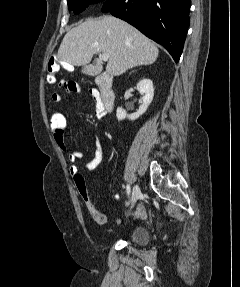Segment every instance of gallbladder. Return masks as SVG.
I'll use <instances>...</instances> for the list:
<instances>
[{
	"label": "gallbladder",
	"mask_w": 240,
	"mask_h": 287,
	"mask_svg": "<svg viewBox=\"0 0 240 287\" xmlns=\"http://www.w3.org/2000/svg\"><path fill=\"white\" fill-rule=\"evenodd\" d=\"M101 66L98 63H94L93 65H86L82 68V72L84 74L95 76L101 72Z\"/></svg>",
	"instance_id": "gallbladder-1"
}]
</instances>
